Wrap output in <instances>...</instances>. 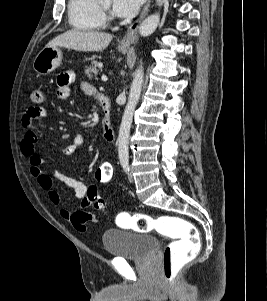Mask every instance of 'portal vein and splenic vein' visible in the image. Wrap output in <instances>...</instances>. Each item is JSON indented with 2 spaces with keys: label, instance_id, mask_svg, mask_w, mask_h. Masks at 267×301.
I'll use <instances>...</instances> for the list:
<instances>
[{
  "label": "portal vein and splenic vein",
  "instance_id": "1",
  "mask_svg": "<svg viewBox=\"0 0 267 301\" xmlns=\"http://www.w3.org/2000/svg\"><path fill=\"white\" fill-rule=\"evenodd\" d=\"M101 79H102V81H104V82L108 80V78H107L106 75H102Z\"/></svg>",
  "mask_w": 267,
  "mask_h": 301
}]
</instances>
